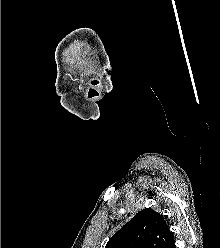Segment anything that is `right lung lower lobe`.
I'll list each match as a JSON object with an SVG mask.
<instances>
[{
    "label": "right lung lower lobe",
    "instance_id": "right-lung-lower-lobe-1",
    "mask_svg": "<svg viewBox=\"0 0 220 248\" xmlns=\"http://www.w3.org/2000/svg\"><path fill=\"white\" fill-rule=\"evenodd\" d=\"M174 242L175 241L173 239L167 246H165V248H176Z\"/></svg>",
    "mask_w": 220,
    "mask_h": 248
}]
</instances>
